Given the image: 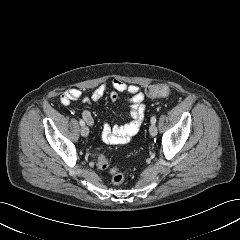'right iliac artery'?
<instances>
[{"label": "right iliac artery", "instance_id": "82829eb1", "mask_svg": "<svg viewBox=\"0 0 240 240\" xmlns=\"http://www.w3.org/2000/svg\"><path fill=\"white\" fill-rule=\"evenodd\" d=\"M79 124H80L81 126H84V125H85V122L81 119V120L79 121Z\"/></svg>", "mask_w": 240, "mask_h": 240}]
</instances>
